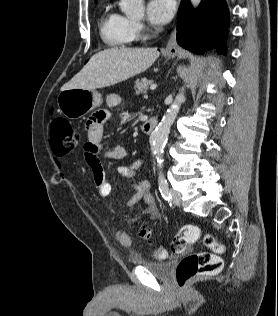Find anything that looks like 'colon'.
<instances>
[{"instance_id":"obj_1","label":"colon","mask_w":278,"mask_h":316,"mask_svg":"<svg viewBox=\"0 0 278 316\" xmlns=\"http://www.w3.org/2000/svg\"><path fill=\"white\" fill-rule=\"evenodd\" d=\"M82 142L81 133L76 130L65 119H55L50 129V144L53 153L62 156L75 150ZM202 235L201 229L196 225H184L174 236L171 243V250L174 254L185 251L187 246ZM140 236L145 240L151 239V232L143 227L140 229ZM205 245L212 251L197 252L184 257L176 271V280L180 287H185L192 279L217 273L222 268V259L217 255L223 251V246L212 234L204 235ZM157 258L166 257L163 248H157L154 252Z\"/></svg>"}]
</instances>
